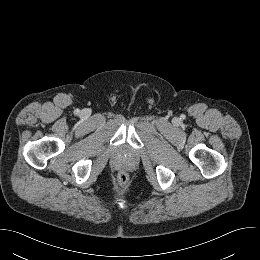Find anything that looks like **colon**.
Returning a JSON list of instances; mask_svg holds the SVG:
<instances>
[{"label": "colon", "instance_id": "colon-1", "mask_svg": "<svg viewBox=\"0 0 260 260\" xmlns=\"http://www.w3.org/2000/svg\"><path fill=\"white\" fill-rule=\"evenodd\" d=\"M127 179H128V178H127V175H126L125 173H123V172H121V173L118 175V180H119V182L122 183V184L126 183Z\"/></svg>", "mask_w": 260, "mask_h": 260}]
</instances>
